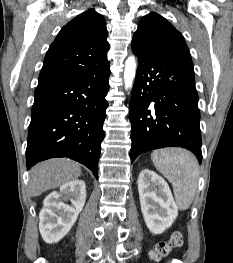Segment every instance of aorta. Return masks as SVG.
I'll list each match as a JSON object with an SVG mask.
<instances>
[{
  "label": "aorta",
  "mask_w": 233,
  "mask_h": 263,
  "mask_svg": "<svg viewBox=\"0 0 233 263\" xmlns=\"http://www.w3.org/2000/svg\"><path fill=\"white\" fill-rule=\"evenodd\" d=\"M136 61L134 56L129 57L125 62V71H124V81H125V87L128 89L135 78L136 74Z\"/></svg>",
  "instance_id": "obj_1"
}]
</instances>
